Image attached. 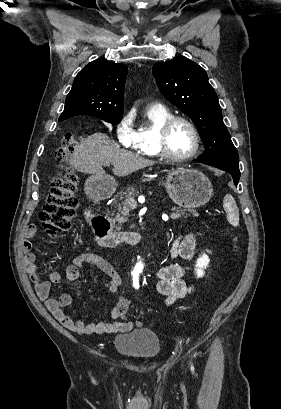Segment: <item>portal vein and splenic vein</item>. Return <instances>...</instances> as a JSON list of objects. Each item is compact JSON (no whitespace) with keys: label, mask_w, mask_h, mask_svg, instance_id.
<instances>
[{"label":"portal vein and splenic vein","mask_w":281,"mask_h":409,"mask_svg":"<svg viewBox=\"0 0 281 409\" xmlns=\"http://www.w3.org/2000/svg\"><path fill=\"white\" fill-rule=\"evenodd\" d=\"M102 164H105V166H109L110 162H102ZM135 205H136V197L130 196L127 201V206L132 208ZM180 216H183V213L173 212L171 219H179Z\"/></svg>","instance_id":"portal-vein-and-splenic-vein-1"}]
</instances>
